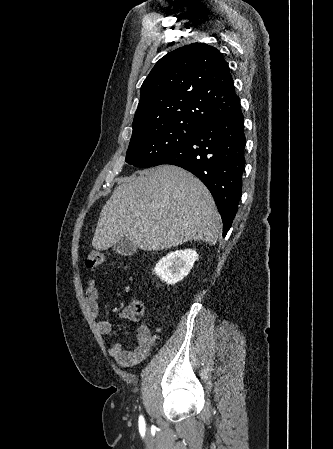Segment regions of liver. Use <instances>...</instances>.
<instances>
[{
	"instance_id": "liver-1",
	"label": "liver",
	"mask_w": 333,
	"mask_h": 449,
	"mask_svg": "<svg viewBox=\"0 0 333 449\" xmlns=\"http://www.w3.org/2000/svg\"><path fill=\"white\" fill-rule=\"evenodd\" d=\"M220 215L207 187L174 165L135 172L120 180L103 206L92 246L107 250L122 237L141 250H163L187 241L215 245Z\"/></svg>"
}]
</instances>
